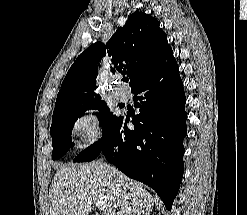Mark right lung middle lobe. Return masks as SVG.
<instances>
[{
	"label": "right lung middle lobe",
	"instance_id": "1",
	"mask_svg": "<svg viewBox=\"0 0 247 215\" xmlns=\"http://www.w3.org/2000/svg\"><path fill=\"white\" fill-rule=\"evenodd\" d=\"M98 109L100 125L105 131L116 119V116L109 111L107 104L100 99V96L83 101L70 107L59 110L53 114L50 134L52 137V159L56 160L65 155L73 147L71 131L74 123L86 110Z\"/></svg>",
	"mask_w": 247,
	"mask_h": 215
}]
</instances>
